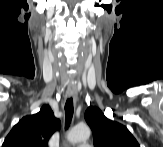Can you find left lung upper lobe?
<instances>
[{"instance_id": "1", "label": "left lung upper lobe", "mask_w": 163, "mask_h": 147, "mask_svg": "<svg viewBox=\"0 0 163 147\" xmlns=\"http://www.w3.org/2000/svg\"><path fill=\"white\" fill-rule=\"evenodd\" d=\"M85 120L93 132L95 147H140L126 126L109 120L97 107H89Z\"/></svg>"}]
</instances>
